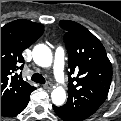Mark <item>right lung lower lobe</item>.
I'll use <instances>...</instances> for the list:
<instances>
[{"instance_id":"right-lung-lower-lobe-1","label":"right lung lower lobe","mask_w":121,"mask_h":121,"mask_svg":"<svg viewBox=\"0 0 121 121\" xmlns=\"http://www.w3.org/2000/svg\"><path fill=\"white\" fill-rule=\"evenodd\" d=\"M29 96H27L24 100H22L20 103H18L14 107L8 109L7 111L2 112L1 116L12 117L22 112L26 108L29 102V98H30Z\"/></svg>"}]
</instances>
